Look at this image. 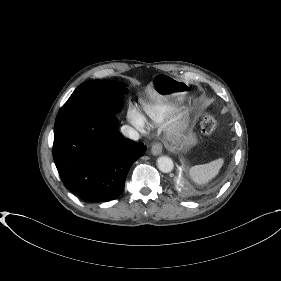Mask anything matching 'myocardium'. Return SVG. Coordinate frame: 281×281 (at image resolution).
<instances>
[{"instance_id": "1", "label": "myocardium", "mask_w": 281, "mask_h": 281, "mask_svg": "<svg viewBox=\"0 0 281 281\" xmlns=\"http://www.w3.org/2000/svg\"><path fill=\"white\" fill-rule=\"evenodd\" d=\"M194 114L193 107L183 108L177 115H175L167 124V134L169 136L175 135L177 132L182 130L192 119Z\"/></svg>"}]
</instances>
